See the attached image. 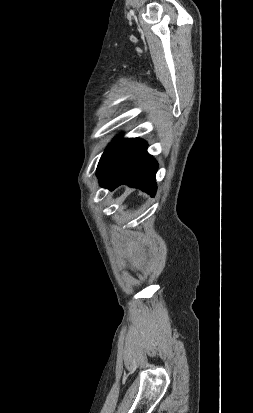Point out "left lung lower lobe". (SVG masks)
Masks as SVG:
<instances>
[{"instance_id":"0a47b994","label":"left lung lower lobe","mask_w":253,"mask_h":413,"mask_svg":"<svg viewBox=\"0 0 253 413\" xmlns=\"http://www.w3.org/2000/svg\"><path fill=\"white\" fill-rule=\"evenodd\" d=\"M158 164L147 153V143L138 138L126 139L97 172L102 187L111 190L121 184L140 188L154 196Z\"/></svg>"}]
</instances>
